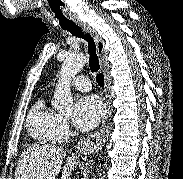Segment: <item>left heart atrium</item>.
<instances>
[{
    "label": "left heart atrium",
    "instance_id": "1",
    "mask_svg": "<svg viewBox=\"0 0 183 179\" xmlns=\"http://www.w3.org/2000/svg\"><path fill=\"white\" fill-rule=\"evenodd\" d=\"M104 115L105 108L102 101L95 95H89L76 101L72 120L79 130L89 131L101 122Z\"/></svg>",
    "mask_w": 183,
    "mask_h": 179
}]
</instances>
